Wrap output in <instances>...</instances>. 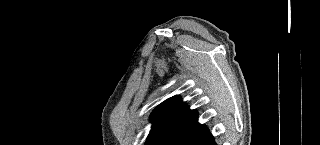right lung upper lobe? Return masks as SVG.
Instances as JSON below:
<instances>
[{
  "label": "right lung upper lobe",
  "mask_w": 320,
  "mask_h": 145,
  "mask_svg": "<svg viewBox=\"0 0 320 145\" xmlns=\"http://www.w3.org/2000/svg\"><path fill=\"white\" fill-rule=\"evenodd\" d=\"M152 128L147 138L155 136H176L198 125V113L184 105L179 96L164 101L153 111Z\"/></svg>",
  "instance_id": "obj_1"
}]
</instances>
